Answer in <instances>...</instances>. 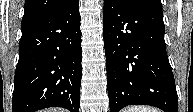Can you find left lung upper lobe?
Returning <instances> with one entry per match:
<instances>
[{
    "instance_id": "obj_1",
    "label": "left lung upper lobe",
    "mask_w": 193,
    "mask_h": 112,
    "mask_svg": "<svg viewBox=\"0 0 193 112\" xmlns=\"http://www.w3.org/2000/svg\"><path fill=\"white\" fill-rule=\"evenodd\" d=\"M119 1L127 5H143L149 3L161 4V0H119Z\"/></svg>"
}]
</instances>
